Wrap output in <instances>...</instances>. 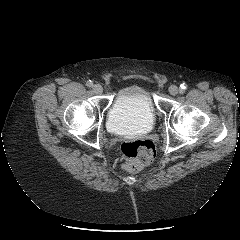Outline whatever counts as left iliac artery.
<instances>
[{
  "instance_id": "1",
  "label": "left iliac artery",
  "mask_w": 240,
  "mask_h": 240,
  "mask_svg": "<svg viewBox=\"0 0 240 240\" xmlns=\"http://www.w3.org/2000/svg\"><path fill=\"white\" fill-rule=\"evenodd\" d=\"M180 89H181V92L185 91L186 85H185V84H181V85H180Z\"/></svg>"
}]
</instances>
